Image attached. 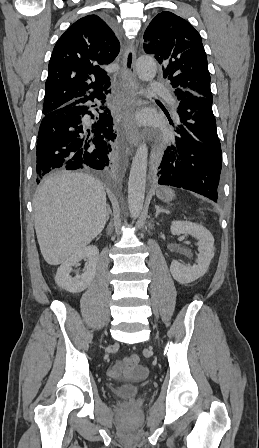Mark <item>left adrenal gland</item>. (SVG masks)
Listing matches in <instances>:
<instances>
[{
  "instance_id": "obj_1",
  "label": "left adrenal gland",
  "mask_w": 259,
  "mask_h": 448,
  "mask_svg": "<svg viewBox=\"0 0 259 448\" xmlns=\"http://www.w3.org/2000/svg\"><path fill=\"white\" fill-rule=\"evenodd\" d=\"M155 208H156V214H155L156 218L158 214H160V212H164V214H170L169 210H162V208H159V206H155Z\"/></svg>"
}]
</instances>
